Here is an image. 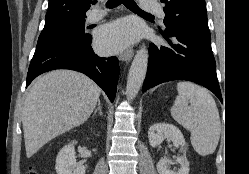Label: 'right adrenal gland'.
Wrapping results in <instances>:
<instances>
[{"label": "right adrenal gland", "instance_id": "2a0ac1e0", "mask_svg": "<svg viewBox=\"0 0 249 174\" xmlns=\"http://www.w3.org/2000/svg\"><path fill=\"white\" fill-rule=\"evenodd\" d=\"M97 112H99V114L102 115L100 100H98V107L95 109L93 116H95Z\"/></svg>", "mask_w": 249, "mask_h": 174}]
</instances>
